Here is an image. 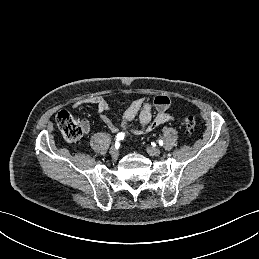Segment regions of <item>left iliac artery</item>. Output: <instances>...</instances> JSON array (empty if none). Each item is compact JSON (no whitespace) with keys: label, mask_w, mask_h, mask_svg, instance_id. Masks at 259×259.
Here are the masks:
<instances>
[{"label":"left iliac artery","mask_w":259,"mask_h":259,"mask_svg":"<svg viewBox=\"0 0 259 259\" xmlns=\"http://www.w3.org/2000/svg\"><path fill=\"white\" fill-rule=\"evenodd\" d=\"M159 145L162 146L163 145V141L159 140Z\"/></svg>","instance_id":"1"}]
</instances>
